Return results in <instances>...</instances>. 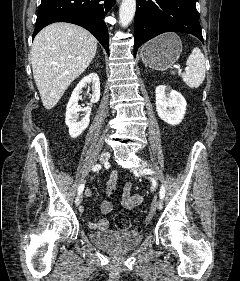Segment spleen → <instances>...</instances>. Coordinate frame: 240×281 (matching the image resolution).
Here are the masks:
<instances>
[{
  "instance_id": "1",
  "label": "spleen",
  "mask_w": 240,
  "mask_h": 281,
  "mask_svg": "<svg viewBox=\"0 0 240 281\" xmlns=\"http://www.w3.org/2000/svg\"><path fill=\"white\" fill-rule=\"evenodd\" d=\"M186 65L188 70L181 74L183 81L190 88H198L203 83L206 73L205 58L198 47L192 50L186 61Z\"/></svg>"
}]
</instances>
